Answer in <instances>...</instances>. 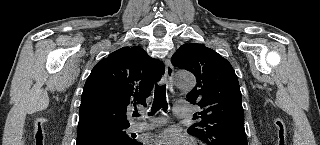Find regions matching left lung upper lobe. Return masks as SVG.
<instances>
[{
    "instance_id": "left-lung-upper-lobe-1",
    "label": "left lung upper lobe",
    "mask_w": 320,
    "mask_h": 145,
    "mask_svg": "<svg viewBox=\"0 0 320 145\" xmlns=\"http://www.w3.org/2000/svg\"><path fill=\"white\" fill-rule=\"evenodd\" d=\"M174 66L192 72L196 86L188 100L203 111L188 132L208 145H247L239 82L231 64L203 44H183L172 56Z\"/></svg>"
}]
</instances>
